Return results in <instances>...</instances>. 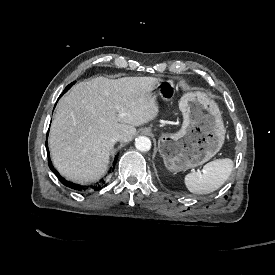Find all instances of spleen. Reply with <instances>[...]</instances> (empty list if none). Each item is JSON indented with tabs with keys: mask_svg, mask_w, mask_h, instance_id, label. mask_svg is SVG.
<instances>
[{
	"mask_svg": "<svg viewBox=\"0 0 275 275\" xmlns=\"http://www.w3.org/2000/svg\"><path fill=\"white\" fill-rule=\"evenodd\" d=\"M233 162L229 158L217 159L203 166L202 172L184 177V184L193 194H208L217 190L230 176Z\"/></svg>",
	"mask_w": 275,
	"mask_h": 275,
	"instance_id": "3e777b00",
	"label": "spleen"
}]
</instances>
